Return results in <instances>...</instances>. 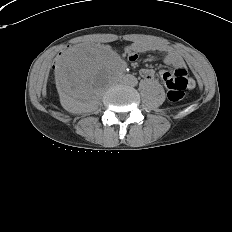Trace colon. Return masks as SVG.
Returning a JSON list of instances; mask_svg holds the SVG:
<instances>
[{
  "label": "colon",
  "instance_id": "colon-1",
  "mask_svg": "<svg viewBox=\"0 0 232 232\" xmlns=\"http://www.w3.org/2000/svg\"><path fill=\"white\" fill-rule=\"evenodd\" d=\"M168 88V96L172 101H180L185 94L186 88H189L191 81L185 75L170 76L164 81Z\"/></svg>",
  "mask_w": 232,
  "mask_h": 232
}]
</instances>
